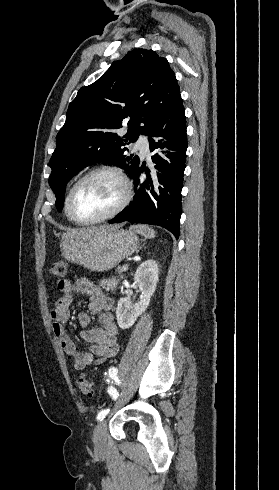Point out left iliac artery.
Listing matches in <instances>:
<instances>
[{
  "instance_id": "obj_1",
  "label": "left iliac artery",
  "mask_w": 279,
  "mask_h": 490,
  "mask_svg": "<svg viewBox=\"0 0 279 490\" xmlns=\"http://www.w3.org/2000/svg\"><path fill=\"white\" fill-rule=\"evenodd\" d=\"M117 370L115 368H111L109 369V374L110 375H117ZM108 392L109 394L113 397V399H117V397L119 396L117 390L114 388V387H109L108 388ZM109 413V409H104V410H101L98 415H97V420H103L105 418V416Z\"/></svg>"
}]
</instances>
